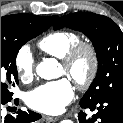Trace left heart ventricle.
<instances>
[{
	"mask_svg": "<svg viewBox=\"0 0 123 123\" xmlns=\"http://www.w3.org/2000/svg\"><path fill=\"white\" fill-rule=\"evenodd\" d=\"M90 61L87 55H82L75 63L72 71L71 77L74 79L83 78L89 70ZM61 73L65 74V69L61 67Z\"/></svg>",
	"mask_w": 123,
	"mask_h": 123,
	"instance_id": "obj_1",
	"label": "left heart ventricle"
}]
</instances>
